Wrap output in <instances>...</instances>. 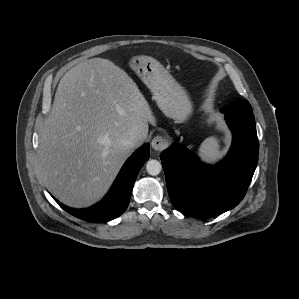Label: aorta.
Instances as JSON below:
<instances>
[{
    "label": "aorta",
    "instance_id": "762f6f07",
    "mask_svg": "<svg viewBox=\"0 0 299 299\" xmlns=\"http://www.w3.org/2000/svg\"><path fill=\"white\" fill-rule=\"evenodd\" d=\"M162 165L158 160H149L146 164V171L152 176H156L161 172Z\"/></svg>",
    "mask_w": 299,
    "mask_h": 299
}]
</instances>
